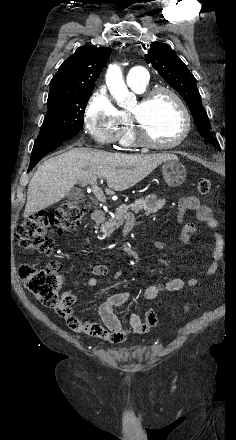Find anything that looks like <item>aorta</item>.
<instances>
[{"label":"aorta","instance_id":"aorta-1","mask_svg":"<svg viewBox=\"0 0 236 440\" xmlns=\"http://www.w3.org/2000/svg\"><path fill=\"white\" fill-rule=\"evenodd\" d=\"M105 81L110 94L120 107L128 108L134 104L135 95L128 90L118 65L109 66Z\"/></svg>","mask_w":236,"mask_h":440}]
</instances>
